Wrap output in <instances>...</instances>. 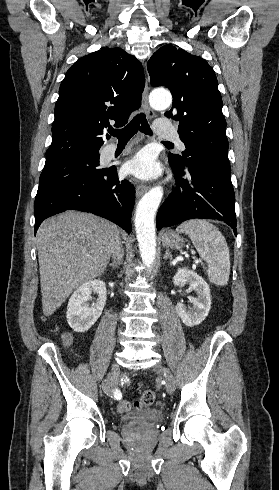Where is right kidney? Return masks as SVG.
<instances>
[{
    "mask_svg": "<svg viewBox=\"0 0 279 490\" xmlns=\"http://www.w3.org/2000/svg\"><path fill=\"white\" fill-rule=\"evenodd\" d=\"M92 292L98 294L94 306L88 304ZM107 294L105 282L91 280L79 286L72 294L67 306V322L74 332H87L100 318L106 304Z\"/></svg>",
    "mask_w": 279,
    "mask_h": 490,
    "instance_id": "obj_1",
    "label": "right kidney"
}]
</instances>
